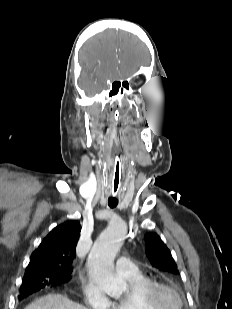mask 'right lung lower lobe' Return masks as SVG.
I'll list each match as a JSON object with an SVG mask.
<instances>
[{
  "mask_svg": "<svg viewBox=\"0 0 232 309\" xmlns=\"http://www.w3.org/2000/svg\"><path fill=\"white\" fill-rule=\"evenodd\" d=\"M36 292L34 289L32 288H29V289H26V290H23L21 293H20V296L21 298L19 300H22L26 297H28L29 295H31L32 293Z\"/></svg>",
  "mask_w": 232,
  "mask_h": 309,
  "instance_id": "98d812e1",
  "label": "right lung lower lobe"
}]
</instances>
